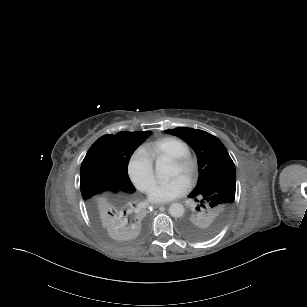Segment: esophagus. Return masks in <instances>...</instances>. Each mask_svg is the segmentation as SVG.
I'll return each mask as SVG.
<instances>
[{"label":"esophagus","instance_id":"1","mask_svg":"<svg viewBox=\"0 0 307 307\" xmlns=\"http://www.w3.org/2000/svg\"><path fill=\"white\" fill-rule=\"evenodd\" d=\"M152 206L154 207V208H158V207H161V204H152Z\"/></svg>","mask_w":307,"mask_h":307}]
</instances>
